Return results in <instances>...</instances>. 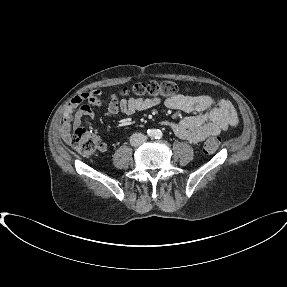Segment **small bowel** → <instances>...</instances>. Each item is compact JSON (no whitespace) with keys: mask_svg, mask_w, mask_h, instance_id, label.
I'll return each mask as SVG.
<instances>
[{"mask_svg":"<svg viewBox=\"0 0 287 287\" xmlns=\"http://www.w3.org/2000/svg\"><path fill=\"white\" fill-rule=\"evenodd\" d=\"M101 91L92 90L75 96L67 107L59 132L65 142L71 139L73 129L81 125L83 117H93L92 107L102 105L100 99ZM160 104L159 98H135L117 99L111 96L108 104V112L115 115L122 112L132 116L137 112L148 110ZM170 109L184 112H196V115L188 116L178 122H167L175 135L193 144L200 143L210 136H217L226 131L229 127L238 124V116L232 103L224 98H212L209 96L190 97L177 95L165 101ZM107 146L102 144L100 149L105 151Z\"/></svg>","mask_w":287,"mask_h":287,"instance_id":"obj_1","label":"small bowel"}]
</instances>
